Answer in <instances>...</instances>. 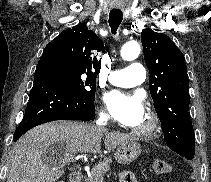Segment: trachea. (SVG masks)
I'll return each instance as SVG.
<instances>
[{
	"instance_id": "1",
	"label": "trachea",
	"mask_w": 211,
	"mask_h": 182,
	"mask_svg": "<svg viewBox=\"0 0 211 182\" xmlns=\"http://www.w3.org/2000/svg\"><path fill=\"white\" fill-rule=\"evenodd\" d=\"M122 22V11L111 10L109 14V26L111 27V32L116 34L119 25Z\"/></svg>"
}]
</instances>
